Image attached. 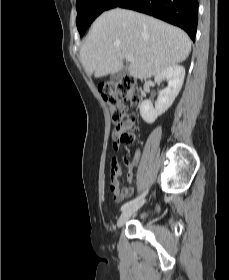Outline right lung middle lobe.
<instances>
[{
	"label": "right lung middle lobe",
	"instance_id": "1",
	"mask_svg": "<svg viewBox=\"0 0 229 280\" xmlns=\"http://www.w3.org/2000/svg\"><path fill=\"white\" fill-rule=\"evenodd\" d=\"M115 0H76V24L80 36L103 11L108 10Z\"/></svg>",
	"mask_w": 229,
	"mask_h": 280
}]
</instances>
